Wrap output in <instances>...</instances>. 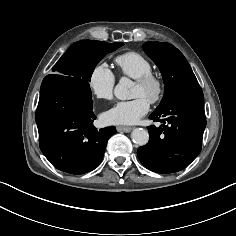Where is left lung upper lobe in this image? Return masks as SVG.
<instances>
[{"instance_id": "1", "label": "left lung upper lobe", "mask_w": 236, "mask_h": 236, "mask_svg": "<svg viewBox=\"0 0 236 236\" xmlns=\"http://www.w3.org/2000/svg\"><path fill=\"white\" fill-rule=\"evenodd\" d=\"M145 53L155 62L163 76L165 92L156 109H161L178 92L200 87L184 55L173 45L163 42H146Z\"/></svg>"}]
</instances>
